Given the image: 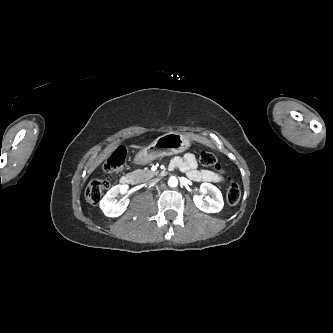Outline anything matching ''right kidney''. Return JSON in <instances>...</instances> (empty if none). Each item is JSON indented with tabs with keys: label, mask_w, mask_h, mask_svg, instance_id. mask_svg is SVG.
<instances>
[{
	"label": "right kidney",
	"mask_w": 333,
	"mask_h": 333,
	"mask_svg": "<svg viewBox=\"0 0 333 333\" xmlns=\"http://www.w3.org/2000/svg\"><path fill=\"white\" fill-rule=\"evenodd\" d=\"M129 186L127 184L116 185L112 187L100 202V208L108 217H118L126 210L129 200L126 199L122 202H117V197L120 194L128 192Z\"/></svg>",
	"instance_id": "ca27d5eb"
}]
</instances>
